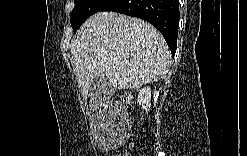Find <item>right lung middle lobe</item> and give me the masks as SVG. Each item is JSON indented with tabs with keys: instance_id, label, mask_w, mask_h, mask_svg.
<instances>
[{
	"instance_id": "obj_1",
	"label": "right lung middle lobe",
	"mask_w": 247,
	"mask_h": 156,
	"mask_svg": "<svg viewBox=\"0 0 247 156\" xmlns=\"http://www.w3.org/2000/svg\"><path fill=\"white\" fill-rule=\"evenodd\" d=\"M70 16L71 26L77 30L91 15L97 13L107 0H74Z\"/></svg>"
}]
</instances>
